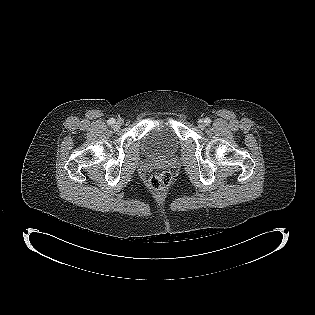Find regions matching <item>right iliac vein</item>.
<instances>
[{
    "mask_svg": "<svg viewBox=\"0 0 315 315\" xmlns=\"http://www.w3.org/2000/svg\"><path fill=\"white\" fill-rule=\"evenodd\" d=\"M121 125H122V121H121V120H118V121L115 123L114 127H115L116 129H118V128L121 127Z\"/></svg>",
    "mask_w": 315,
    "mask_h": 315,
    "instance_id": "right-iliac-vein-1",
    "label": "right iliac vein"
}]
</instances>
